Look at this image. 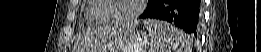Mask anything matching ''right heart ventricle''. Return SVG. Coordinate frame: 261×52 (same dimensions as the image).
Wrapping results in <instances>:
<instances>
[{
  "label": "right heart ventricle",
  "instance_id": "right-heart-ventricle-1",
  "mask_svg": "<svg viewBox=\"0 0 261 52\" xmlns=\"http://www.w3.org/2000/svg\"><path fill=\"white\" fill-rule=\"evenodd\" d=\"M103 1L88 0L84 8L85 19L92 24H109L108 20L102 15Z\"/></svg>",
  "mask_w": 261,
  "mask_h": 52
}]
</instances>
